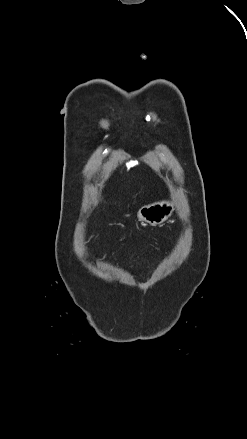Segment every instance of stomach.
<instances>
[{
  "mask_svg": "<svg viewBox=\"0 0 247 439\" xmlns=\"http://www.w3.org/2000/svg\"><path fill=\"white\" fill-rule=\"evenodd\" d=\"M174 206L168 200H162L150 205L143 206L138 212L140 221L150 225H161L173 214Z\"/></svg>",
  "mask_w": 247,
  "mask_h": 439,
  "instance_id": "1",
  "label": "stomach"
}]
</instances>
